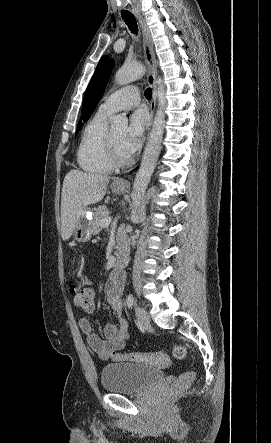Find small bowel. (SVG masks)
Segmentation results:
<instances>
[{
	"label": "small bowel",
	"instance_id": "c3829d8e",
	"mask_svg": "<svg viewBox=\"0 0 271 443\" xmlns=\"http://www.w3.org/2000/svg\"><path fill=\"white\" fill-rule=\"evenodd\" d=\"M123 287V277L116 274L111 276L106 284V300L117 318V324L105 325L103 338L95 333L89 319L82 318L79 321V327L86 335L88 346L102 360H107L114 352L121 350L129 337L130 328L124 315L122 303Z\"/></svg>",
	"mask_w": 271,
	"mask_h": 443
}]
</instances>
